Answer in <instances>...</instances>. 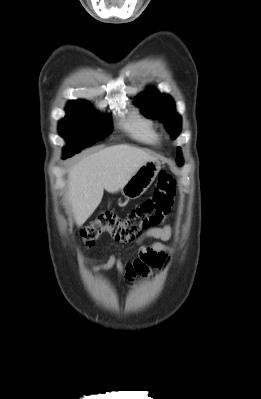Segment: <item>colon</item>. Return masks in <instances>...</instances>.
<instances>
[{"mask_svg":"<svg viewBox=\"0 0 261 399\" xmlns=\"http://www.w3.org/2000/svg\"><path fill=\"white\" fill-rule=\"evenodd\" d=\"M175 187L173 177L161 171L153 195L133 208L125 217L113 212H104L94 221L81 229V238L85 247H92L104 234L116 242H132L146 230L158 225L169 213Z\"/></svg>","mask_w":261,"mask_h":399,"instance_id":"1","label":"colon"}]
</instances>
